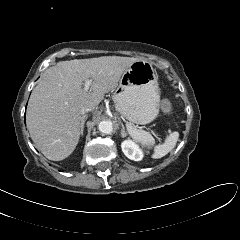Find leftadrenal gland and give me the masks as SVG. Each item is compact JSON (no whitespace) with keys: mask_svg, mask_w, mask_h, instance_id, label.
Returning a JSON list of instances; mask_svg holds the SVG:
<instances>
[{"mask_svg":"<svg viewBox=\"0 0 240 240\" xmlns=\"http://www.w3.org/2000/svg\"><path fill=\"white\" fill-rule=\"evenodd\" d=\"M122 129H121V136L125 137L127 135L126 131H125V127L123 125V123H121Z\"/></svg>","mask_w":240,"mask_h":240,"instance_id":"obj_1","label":"left adrenal gland"}]
</instances>
